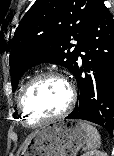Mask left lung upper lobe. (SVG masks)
<instances>
[{
  "label": "left lung upper lobe",
  "instance_id": "1",
  "mask_svg": "<svg viewBox=\"0 0 114 156\" xmlns=\"http://www.w3.org/2000/svg\"><path fill=\"white\" fill-rule=\"evenodd\" d=\"M99 1L36 0L13 37L9 60L13 90L27 69L43 62L63 65L74 73L81 40Z\"/></svg>",
  "mask_w": 114,
  "mask_h": 156
}]
</instances>
